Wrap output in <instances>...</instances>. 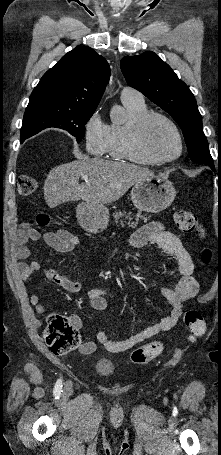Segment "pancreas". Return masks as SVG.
I'll list each match as a JSON object with an SVG mask.
<instances>
[{
  "label": "pancreas",
  "mask_w": 221,
  "mask_h": 455,
  "mask_svg": "<svg viewBox=\"0 0 221 455\" xmlns=\"http://www.w3.org/2000/svg\"><path fill=\"white\" fill-rule=\"evenodd\" d=\"M113 217H114L116 223H118V221L120 220V224L122 226H125V224H127L129 227H132V228H135L137 226L138 221L140 219L144 220L145 222L147 221L146 215L137 213L135 216H133L131 213H126L125 211L124 212H121V211L115 212L113 214ZM134 218H135V220L133 221Z\"/></svg>",
  "instance_id": "cf45deb5"
}]
</instances>
